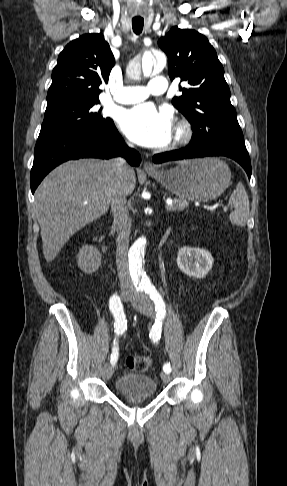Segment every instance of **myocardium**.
Here are the masks:
<instances>
[{
  "instance_id": "myocardium-1",
  "label": "myocardium",
  "mask_w": 287,
  "mask_h": 486,
  "mask_svg": "<svg viewBox=\"0 0 287 486\" xmlns=\"http://www.w3.org/2000/svg\"><path fill=\"white\" fill-rule=\"evenodd\" d=\"M192 127L186 120H181L177 123L174 131L173 142L174 144H184L192 137Z\"/></svg>"
}]
</instances>
